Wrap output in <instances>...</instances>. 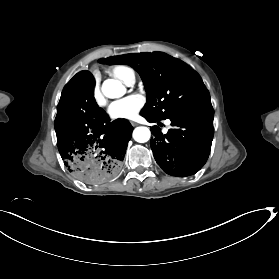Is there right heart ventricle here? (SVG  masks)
<instances>
[{
  "label": "right heart ventricle",
  "mask_w": 279,
  "mask_h": 279,
  "mask_svg": "<svg viewBox=\"0 0 279 279\" xmlns=\"http://www.w3.org/2000/svg\"><path fill=\"white\" fill-rule=\"evenodd\" d=\"M107 73L123 84H132L134 82V72L127 66H112Z\"/></svg>",
  "instance_id": "obj_1"
}]
</instances>
